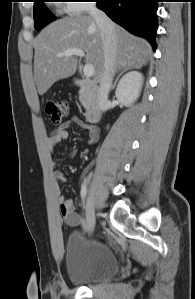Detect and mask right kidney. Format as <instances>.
<instances>
[{"instance_id":"ca27d5eb","label":"right kidney","mask_w":195,"mask_h":299,"mask_svg":"<svg viewBox=\"0 0 195 299\" xmlns=\"http://www.w3.org/2000/svg\"><path fill=\"white\" fill-rule=\"evenodd\" d=\"M143 84V75L138 71L125 74L120 80L115 91L118 101L129 107L138 99Z\"/></svg>"}]
</instances>
